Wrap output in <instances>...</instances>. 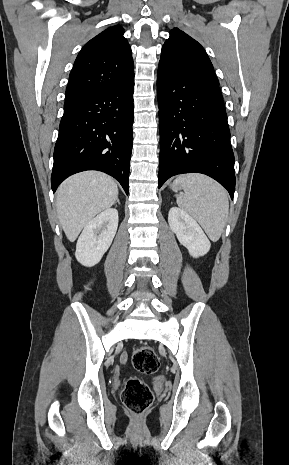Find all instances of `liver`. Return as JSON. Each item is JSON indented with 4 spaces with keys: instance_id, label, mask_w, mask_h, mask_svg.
<instances>
[{
    "instance_id": "obj_1",
    "label": "liver",
    "mask_w": 289,
    "mask_h": 465,
    "mask_svg": "<svg viewBox=\"0 0 289 465\" xmlns=\"http://www.w3.org/2000/svg\"><path fill=\"white\" fill-rule=\"evenodd\" d=\"M117 198V184L104 173L86 171L65 180L57 190L56 207L68 240L74 242L81 230Z\"/></svg>"
}]
</instances>
